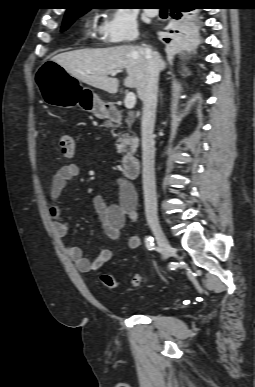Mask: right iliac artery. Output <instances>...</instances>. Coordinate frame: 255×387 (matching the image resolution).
<instances>
[{
  "label": "right iliac artery",
  "mask_w": 255,
  "mask_h": 387,
  "mask_svg": "<svg viewBox=\"0 0 255 387\" xmlns=\"http://www.w3.org/2000/svg\"><path fill=\"white\" fill-rule=\"evenodd\" d=\"M145 246H146V248L149 250V251H152V250H154V240H153V237H151V236H147L146 238H145Z\"/></svg>",
  "instance_id": "1"
}]
</instances>
